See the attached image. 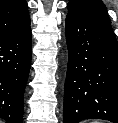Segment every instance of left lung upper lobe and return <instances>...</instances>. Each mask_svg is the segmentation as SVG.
Segmentation results:
<instances>
[{
  "mask_svg": "<svg viewBox=\"0 0 118 123\" xmlns=\"http://www.w3.org/2000/svg\"><path fill=\"white\" fill-rule=\"evenodd\" d=\"M68 15L87 20L111 22L101 0H70Z\"/></svg>",
  "mask_w": 118,
  "mask_h": 123,
  "instance_id": "obj_1",
  "label": "left lung upper lobe"
}]
</instances>
